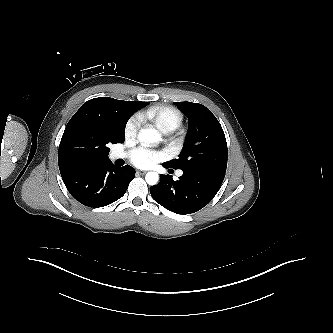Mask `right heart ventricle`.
<instances>
[{"label":"right heart ventricle","mask_w":333,"mask_h":333,"mask_svg":"<svg viewBox=\"0 0 333 333\" xmlns=\"http://www.w3.org/2000/svg\"><path fill=\"white\" fill-rule=\"evenodd\" d=\"M140 117L153 123L163 133L175 131L183 121L182 112L168 105L151 106Z\"/></svg>","instance_id":"1"}]
</instances>
